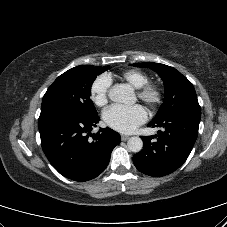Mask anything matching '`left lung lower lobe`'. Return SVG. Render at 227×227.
<instances>
[{
	"mask_svg": "<svg viewBox=\"0 0 227 227\" xmlns=\"http://www.w3.org/2000/svg\"><path fill=\"white\" fill-rule=\"evenodd\" d=\"M200 110H182L148 127H163L155 136L141 137L144 148L133 156L136 168L149 176L160 177L177 170L188 158L197 139Z\"/></svg>",
	"mask_w": 227,
	"mask_h": 227,
	"instance_id": "0a47b994",
	"label": "left lung lower lobe"
}]
</instances>
